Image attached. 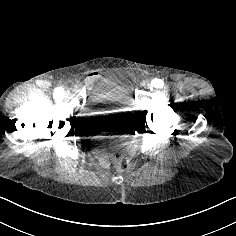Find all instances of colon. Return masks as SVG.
Wrapping results in <instances>:
<instances>
[{
	"mask_svg": "<svg viewBox=\"0 0 236 236\" xmlns=\"http://www.w3.org/2000/svg\"><path fill=\"white\" fill-rule=\"evenodd\" d=\"M111 159L117 171L125 172L131 166V160L127 151L119 145H114L111 148Z\"/></svg>",
	"mask_w": 236,
	"mask_h": 236,
	"instance_id": "1",
	"label": "colon"
}]
</instances>
